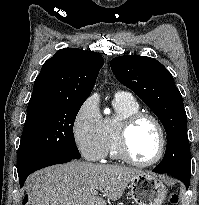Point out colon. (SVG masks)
Masks as SVG:
<instances>
[{
	"instance_id": "obj_1",
	"label": "colon",
	"mask_w": 199,
	"mask_h": 205,
	"mask_svg": "<svg viewBox=\"0 0 199 205\" xmlns=\"http://www.w3.org/2000/svg\"><path fill=\"white\" fill-rule=\"evenodd\" d=\"M178 201H179V198H178V195L173 193L171 196H170V203L171 205H177L178 204ZM25 205H28V202H25Z\"/></svg>"
}]
</instances>
